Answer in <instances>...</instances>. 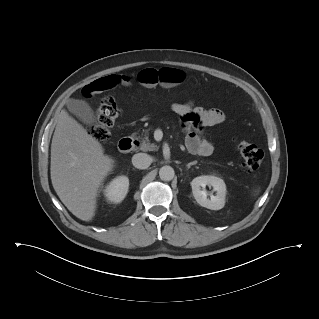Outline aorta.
I'll list each match as a JSON object with an SVG mask.
<instances>
[{
	"label": "aorta",
	"instance_id": "aorta-1",
	"mask_svg": "<svg viewBox=\"0 0 319 319\" xmlns=\"http://www.w3.org/2000/svg\"><path fill=\"white\" fill-rule=\"evenodd\" d=\"M175 172L171 166H163L159 170V177L163 181H171L174 178Z\"/></svg>",
	"mask_w": 319,
	"mask_h": 319
}]
</instances>
